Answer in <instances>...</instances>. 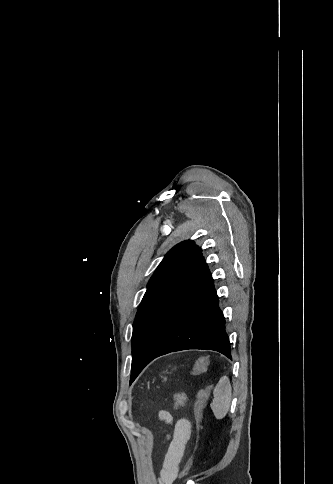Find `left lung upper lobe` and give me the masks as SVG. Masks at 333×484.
<instances>
[{
	"instance_id": "5c2ea615",
	"label": "left lung upper lobe",
	"mask_w": 333,
	"mask_h": 484,
	"mask_svg": "<svg viewBox=\"0 0 333 484\" xmlns=\"http://www.w3.org/2000/svg\"><path fill=\"white\" fill-rule=\"evenodd\" d=\"M200 248L193 241H183L175 245L164 257L151 277L147 291L138 308L133 324L132 352L138 340L139 334L155 304L173 282L183 266L191 262L195 256L200 254ZM188 275V274H187ZM143 367L132 368L131 379L135 380Z\"/></svg>"
}]
</instances>
